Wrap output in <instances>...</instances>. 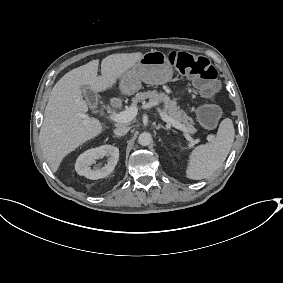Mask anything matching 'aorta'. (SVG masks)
Here are the masks:
<instances>
[{
    "mask_svg": "<svg viewBox=\"0 0 283 283\" xmlns=\"http://www.w3.org/2000/svg\"><path fill=\"white\" fill-rule=\"evenodd\" d=\"M152 141V136L148 132H143L138 137V143L142 146H148Z\"/></svg>",
    "mask_w": 283,
    "mask_h": 283,
    "instance_id": "762f6f07",
    "label": "aorta"
}]
</instances>
